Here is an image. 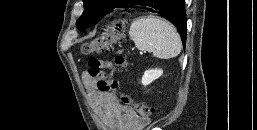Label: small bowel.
<instances>
[{
  "label": "small bowel",
  "instance_id": "small-bowel-1",
  "mask_svg": "<svg viewBox=\"0 0 257 130\" xmlns=\"http://www.w3.org/2000/svg\"><path fill=\"white\" fill-rule=\"evenodd\" d=\"M82 79L91 102L109 127L114 130H142L147 125L148 120L141 118L132 108L121 105L113 93L99 91L96 79L88 72L83 73Z\"/></svg>",
  "mask_w": 257,
  "mask_h": 130
}]
</instances>
